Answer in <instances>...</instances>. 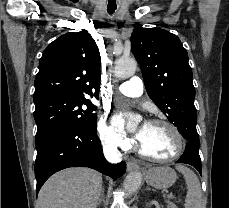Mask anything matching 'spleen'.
<instances>
[{"mask_svg":"<svg viewBox=\"0 0 229 208\" xmlns=\"http://www.w3.org/2000/svg\"><path fill=\"white\" fill-rule=\"evenodd\" d=\"M176 170L183 174L187 184L185 208H200L202 192L200 182L196 174H194L190 168H185V166H176Z\"/></svg>","mask_w":229,"mask_h":208,"instance_id":"3e777b00","label":"spleen"}]
</instances>
